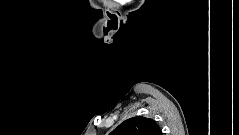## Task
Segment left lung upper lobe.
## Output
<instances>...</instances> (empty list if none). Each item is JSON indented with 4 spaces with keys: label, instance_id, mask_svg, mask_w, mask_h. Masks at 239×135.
Wrapping results in <instances>:
<instances>
[{
    "label": "left lung upper lobe",
    "instance_id": "5c2ea615",
    "mask_svg": "<svg viewBox=\"0 0 239 135\" xmlns=\"http://www.w3.org/2000/svg\"><path fill=\"white\" fill-rule=\"evenodd\" d=\"M110 135H162V132L153 119L137 116L122 122Z\"/></svg>",
    "mask_w": 239,
    "mask_h": 135
}]
</instances>
